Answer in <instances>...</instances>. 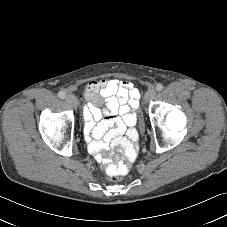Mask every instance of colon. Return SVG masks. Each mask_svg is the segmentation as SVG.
Segmentation results:
<instances>
[{
	"label": "colon",
	"mask_w": 227,
	"mask_h": 227,
	"mask_svg": "<svg viewBox=\"0 0 227 227\" xmlns=\"http://www.w3.org/2000/svg\"><path fill=\"white\" fill-rule=\"evenodd\" d=\"M138 118H139V123H140V131L144 132L145 131L144 114L139 113ZM130 136H131V138H135L136 133L132 132ZM114 158H115V156L112 153L105 156V166H106L105 170H106L108 180L111 182H117V181L121 180L122 175L127 173L128 169H129V167L126 163L123 165L114 164L113 163Z\"/></svg>",
	"instance_id": "1"
}]
</instances>
